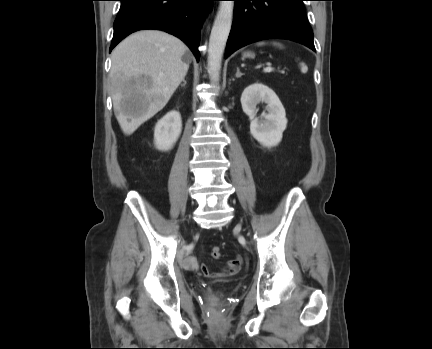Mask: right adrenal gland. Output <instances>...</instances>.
Listing matches in <instances>:
<instances>
[{
  "label": "right adrenal gland",
  "instance_id": "obj_1",
  "mask_svg": "<svg viewBox=\"0 0 432 349\" xmlns=\"http://www.w3.org/2000/svg\"><path fill=\"white\" fill-rule=\"evenodd\" d=\"M185 85H186V80L184 79V80H183V84H181V86H182V87H185Z\"/></svg>",
  "mask_w": 432,
  "mask_h": 349
}]
</instances>
